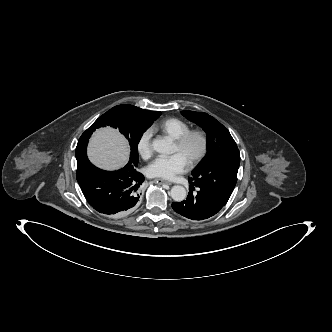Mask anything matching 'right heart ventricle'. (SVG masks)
Returning a JSON list of instances; mask_svg holds the SVG:
<instances>
[{
	"label": "right heart ventricle",
	"instance_id": "1",
	"mask_svg": "<svg viewBox=\"0 0 332 332\" xmlns=\"http://www.w3.org/2000/svg\"><path fill=\"white\" fill-rule=\"evenodd\" d=\"M153 130H159L172 139H177L189 130V124L180 118L171 117L159 122Z\"/></svg>",
	"mask_w": 332,
	"mask_h": 332
}]
</instances>
